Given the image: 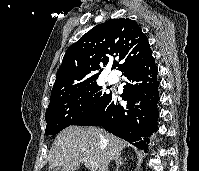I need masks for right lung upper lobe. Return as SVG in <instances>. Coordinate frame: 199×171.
<instances>
[{"label":"right lung upper lobe","instance_id":"obj_1","mask_svg":"<svg viewBox=\"0 0 199 171\" xmlns=\"http://www.w3.org/2000/svg\"><path fill=\"white\" fill-rule=\"evenodd\" d=\"M151 54L147 37L133 20L110 19L99 24L67 49L56 74L49 105L96 81L112 58V68L122 72Z\"/></svg>","mask_w":199,"mask_h":171}]
</instances>
